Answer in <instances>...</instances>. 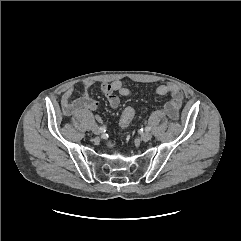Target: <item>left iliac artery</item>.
Returning <instances> with one entry per match:
<instances>
[{"mask_svg":"<svg viewBox=\"0 0 241 241\" xmlns=\"http://www.w3.org/2000/svg\"><path fill=\"white\" fill-rule=\"evenodd\" d=\"M150 129H151V128H150L149 126H146V127H145V131H147V132L150 131Z\"/></svg>","mask_w":241,"mask_h":241,"instance_id":"44dca946","label":"left iliac artery"}]
</instances>
